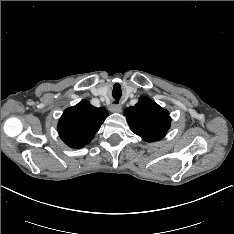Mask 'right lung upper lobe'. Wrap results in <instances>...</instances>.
Instances as JSON below:
<instances>
[{
  "mask_svg": "<svg viewBox=\"0 0 234 234\" xmlns=\"http://www.w3.org/2000/svg\"><path fill=\"white\" fill-rule=\"evenodd\" d=\"M108 116L105 108L94 107L87 100L64 111L58 132L61 139L70 147L81 148L89 143Z\"/></svg>",
  "mask_w": 234,
  "mask_h": 234,
  "instance_id": "1",
  "label": "right lung upper lobe"
}]
</instances>
